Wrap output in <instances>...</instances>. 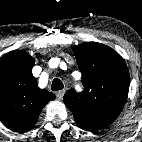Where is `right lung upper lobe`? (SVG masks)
Here are the masks:
<instances>
[{"label": "right lung upper lobe", "mask_w": 142, "mask_h": 142, "mask_svg": "<svg viewBox=\"0 0 142 142\" xmlns=\"http://www.w3.org/2000/svg\"><path fill=\"white\" fill-rule=\"evenodd\" d=\"M35 59L22 50L0 58V119L17 132L31 130L43 107L55 95L38 87L32 75Z\"/></svg>", "instance_id": "right-lung-upper-lobe-1"}]
</instances>
